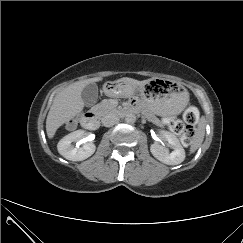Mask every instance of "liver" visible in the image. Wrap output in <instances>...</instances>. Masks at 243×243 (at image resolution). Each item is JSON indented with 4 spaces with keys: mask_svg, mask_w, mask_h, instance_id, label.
Instances as JSON below:
<instances>
[{
    "mask_svg": "<svg viewBox=\"0 0 243 243\" xmlns=\"http://www.w3.org/2000/svg\"><path fill=\"white\" fill-rule=\"evenodd\" d=\"M101 80V77H95L75 82L55 96L46 119V132L49 139L54 137L60 126L83 110L84 102L81 93L85 86ZM122 81L132 86H143L149 82V80L138 81L132 78H122Z\"/></svg>",
    "mask_w": 243,
    "mask_h": 243,
    "instance_id": "liver-1",
    "label": "liver"
}]
</instances>
